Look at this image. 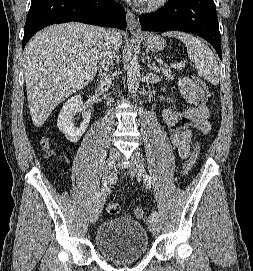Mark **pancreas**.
<instances>
[{
	"label": "pancreas",
	"instance_id": "cf45deb5",
	"mask_svg": "<svg viewBox=\"0 0 253 271\" xmlns=\"http://www.w3.org/2000/svg\"><path fill=\"white\" fill-rule=\"evenodd\" d=\"M161 71L167 80L170 81L173 79V74L171 73V70L169 68H161Z\"/></svg>",
	"mask_w": 253,
	"mask_h": 271
}]
</instances>
